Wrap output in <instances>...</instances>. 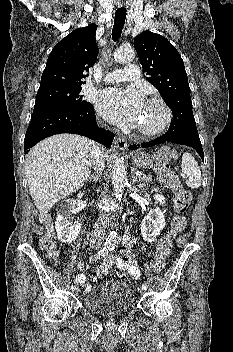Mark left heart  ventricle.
Returning <instances> with one entry per match:
<instances>
[{"instance_id":"left-heart-ventricle-1","label":"left heart ventricle","mask_w":233,"mask_h":352,"mask_svg":"<svg viewBox=\"0 0 233 352\" xmlns=\"http://www.w3.org/2000/svg\"><path fill=\"white\" fill-rule=\"evenodd\" d=\"M163 118V111L159 105L145 100L141 109L137 128L148 129L158 125Z\"/></svg>"}]
</instances>
